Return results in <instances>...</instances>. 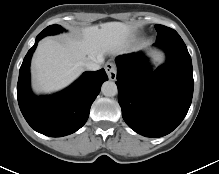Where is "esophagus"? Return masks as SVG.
Listing matches in <instances>:
<instances>
[{"instance_id": "34e87169", "label": "esophagus", "mask_w": 219, "mask_h": 174, "mask_svg": "<svg viewBox=\"0 0 219 174\" xmlns=\"http://www.w3.org/2000/svg\"><path fill=\"white\" fill-rule=\"evenodd\" d=\"M105 71L109 77L110 80L114 81L116 80V76H117V69L114 63L112 62H107L105 64Z\"/></svg>"}]
</instances>
